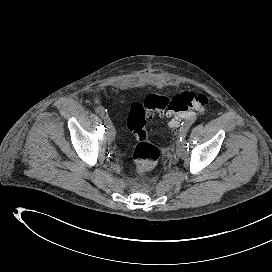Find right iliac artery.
I'll use <instances>...</instances> for the list:
<instances>
[{
	"instance_id": "obj_1",
	"label": "right iliac artery",
	"mask_w": 272,
	"mask_h": 272,
	"mask_svg": "<svg viewBox=\"0 0 272 272\" xmlns=\"http://www.w3.org/2000/svg\"><path fill=\"white\" fill-rule=\"evenodd\" d=\"M95 111H96L102 118H105L106 116H108V115L106 114L105 109H104L103 107H101V106L96 107V108H95Z\"/></svg>"
}]
</instances>
